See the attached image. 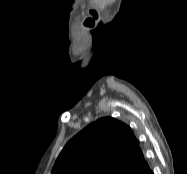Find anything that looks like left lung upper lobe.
<instances>
[{"label":"left lung upper lobe","instance_id":"obj_1","mask_svg":"<svg viewBox=\"0 0 187 174\" xmlns=\"http://www.w3.org/2000/svg\"><path fill=\"white\" fill-rule=\"evenodd\" d=\"M146 167L148 164L130 127L104 117L65 145L52 174H134Z\"/></svg>","mask_w":187,"mask_h":174}]
</instances>
